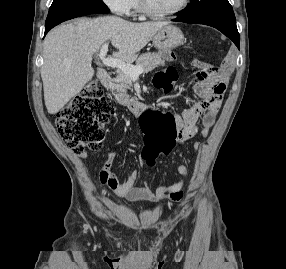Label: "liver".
Listing matches in <instances>:
<instances>
[{
    "label": "liver",
    "instance_id": "1",
    "mask_svg": "<svg viewBox=\"0 0 286 269\" xmlns=\"http://www.w3.org/2000/svg\"><path fill=\"white\" fill-rule=\"evenodd\" d=\"M168 22L133 23L108 16L79 18L50 31L44 41L41 77L48 113L56 114L94 76L92 55L107 41L113 57L132 63L137 53Z\"/></svg>",
    "mask_w": 286,
    "mask_h": 269
}]
</instances>
